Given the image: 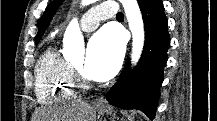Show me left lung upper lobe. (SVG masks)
<instances>
[{
    "instance_id": "left-lung-upper-lobe-1",
    "label": "left lung upper lobe",
    "mask_w": 217,
    "mask_h": 121,
    "mask_svg": "<svg viewBox=\"0 0 217 121\" xmlns=\"http://www.w3.org/2000/svg\"><path fill=\"white\" fill-rule=\"evenodd\" d=\"M58 6H59V0L51 2L47 6L42 17L40 18V20L38 22V34H37L36 39H35L36 44L39 42V40L41 39L45 30L49 26V23L53 17V14L55 13Z\"/></svg>"
}]
</instances>
